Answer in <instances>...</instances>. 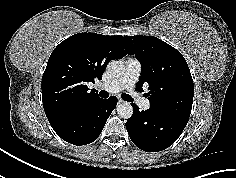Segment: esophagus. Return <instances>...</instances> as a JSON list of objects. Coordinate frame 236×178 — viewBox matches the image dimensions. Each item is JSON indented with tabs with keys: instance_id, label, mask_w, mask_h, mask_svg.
Here are the masks:
<instances>
[{
	"instance_id": "34e87169",
	"label": "esophagus",
	"mask_w": 236,
	"mask_h": 178,
	"mask_svg": "<svg viewBox=\"0 0 236 178\" xmlns=\"http://www.w3.org/2000/svg\"><path fill=\"white\" fill-rule=\"evenodd\" d=\"M118 103L122 104V103H124V101L122 99H118Z\"/></svg>"
}]
</instances>
